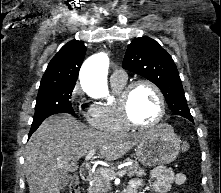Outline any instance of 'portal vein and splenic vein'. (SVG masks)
Returning a JSON list of instances; mask_svg holds the SVG:
<instances>
[{
	"label": "portal vein and splenic vein",
	"instance_id": "obj_1",
	"mask_svg": "<svg viewBox=\"0 0 221 193\" xmlns=\"http://www.w3.org/2000/svg\"><path fill=\"white\" fill-rule=\"evenodd\" d=\"M96 153L95 149H92L88 152V154L85 156V160H89L92 156H94ZM101 173L108 179L113 180L115 176H123L127 173L126 169H122L118 171L117 173H113L107 169L100 168Z\"/></svg>",
	"mask_w": 221,
	"mask_h": 193
}]
</instances>
